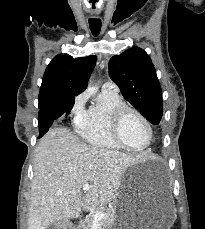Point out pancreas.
<instances>
[{
    "mask_svg": "<svg viewBox=\"0 0 205 229\" xmlns=\"http://www.w3.org/2000/svg\"><path fill=\"white\" fill-rule=\"evenodd\" d=\"M96 213H104L106 215L105 219L100 220V225L102 226V229H110L111 225L114 223L116 214H115L114 209H110V208H107L105 206H101V207L97 208V210L94 214H89L85 218L80 229H92V224L94 221V215Z\"/></svg>",
    "mask_w": 205,
    "mask_h": 229,
    "instance_id": "1",
    "label": "pancreas"
}]
</instances>
